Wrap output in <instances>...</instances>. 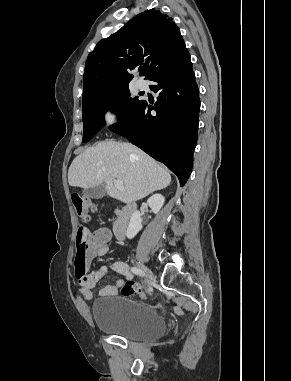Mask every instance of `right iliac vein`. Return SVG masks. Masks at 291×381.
I'll return each mask as SVG.
<instances>
[{"label":"right iliac vein","instance_id":"63e3f726","mask_svg":"<svg viewBox=\"0 0 291 381\" xmlns=\"http://www.w3.org/2000/svg\"><path fill=\"white\" fill-rule=\"evenodd\" d=\"M139 267H140V268L142 269V271L146 274V276H147V278L149 279L150 282H152V281L155 280V277H154L152 271H151L149 268H147L146 266H144V265H142V264H140ZM150 290H151V287L149 286V287H148V291H150Z\"/></svg>","mask_w":291,"mask_h":381}]
</instances>
